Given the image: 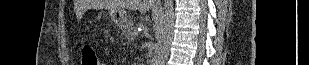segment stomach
<instances>
[{
  "mask_svg": "<svg viewBox=\"0 0 309 65\" xmlns=\"http://www.w3.org/2000/svg\"><path fill=\"white\" fill-rule=\"evenodd\" d=\"M111 19L119 26L128 25L127 13L123 9H111L109 11Z\"/></svg>",
  "mask_w": 309,
  "mask_h": 65,
  "instance_id": "1",
  "label": "stomach"
}]
</instances>
